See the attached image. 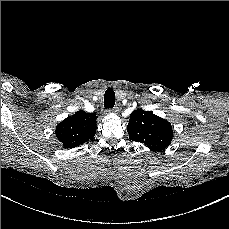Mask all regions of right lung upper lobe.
Segmentation results:
<instances>
[{
  "instance_id": "right-lung-upper-lobe-1",
  "label": "right lung upper lobe",
  "mask_w": 229,
  "mask_h": 229,
  "mask_svg": "<svg viewBox=\"0 0 229 229\" xmlns=\"http://www.w3.org/2000/svg\"><path fill=\"white\" fill-rule=\"evenodd\" d=\"M96 119V113L77 111L56 126V137L64 148L79 146L93 139L97 129Z\"/></svg>"
}]
</instances>
